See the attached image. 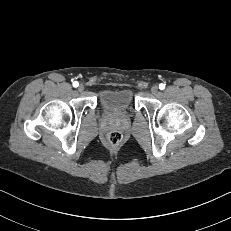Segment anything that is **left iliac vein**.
Wrapping results in <instances>:
<instances>
[{"instance_id":"4c4485c4","label":"left iliac vein","mask_w":231,"mask_h":231,"mask_svg":"<svg viewBox=\"0 0 231 231\" xmlns=\"http://www.w3.org/2000/svg\"><path fill=\"white\" fill-rule=\"evenodd\" d=\"M158 90H159V88H158L157 85H153L152 88H151V92H152L153 94H157V93H158Z\"/></svg>"}]
</instances>
